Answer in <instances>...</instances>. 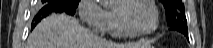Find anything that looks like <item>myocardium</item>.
Masks as SVG:
<instances>
[{
  "mask_svg": "<svg viewBox=\"0 0 213 48\" xmlns=\"http://www.w3.org/2000/svg\"><path fill=\"white\" fill-rule=\"evenodd\" d=\"M135 1L145 2L152 8L153 14H154V25H153V27L148 31H144V32L137 31V30L133 29L127 23L123 14L119 10H114L121 28L123 29V31L127 35L133 36V37H144V36H147V35L154 33L159 27V12H158V9H157L154 1H152V0H122L121 3H120V6L121 7L127 6V5H129V4H131L132 2H135Z\"/></svg>",
  "mask_w": 213,
  "mask_h": 48,
  "instance_id": "myocardium-1",
  "label": "myocardium"
}]
</instances>
